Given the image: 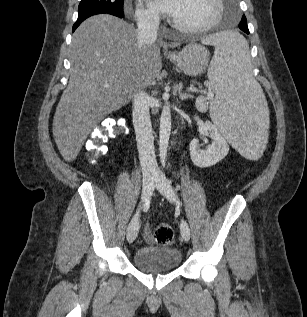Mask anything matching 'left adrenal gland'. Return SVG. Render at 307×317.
<instances>
[{
	"label": "left adrenal gland",
	"mask_w": 307,
	"mask_h": 317,
	"mask_svg": "<svg viewBox=\"0 0 307 317\" xmlns=\"http://www.w3.org/2000/svg\"><path fill=\"white\" fill-rule=\"evenodd\" d=\"M182 88H183V85H182V83H180L179 89H178L179 98L182 101H185L186 99H192L193 96L191 94H189V93H183L182 92Z\"/></svg>",
	"instance_id": "1"
}]
</instances>
